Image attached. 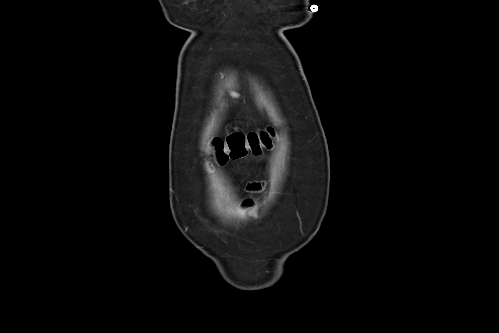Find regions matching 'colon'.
<instances>
[{
    "label": "colon",
    "instance_id": "5ec220e1",
    "mask_svg": "<svg viewBox=\"0 0 499 333\" xmlns=\"http://www.w3.org/2000/svg\"><path fill=\"white\" fill-rule=\"evenodd\" d=\"M273 130L268 128L257 133H236L225 140H215L214 149L219 163L228 159H238L248 153L259 154L272 143Z\"/></svg>",
    "mask_w": 499,
    "mask_h": 333
}]
</instances>
